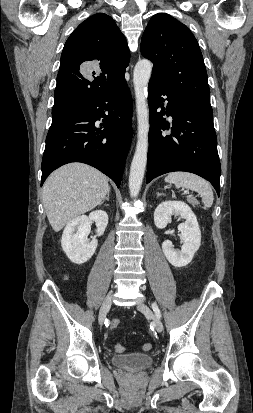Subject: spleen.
Segmentation results:
<instances>
[{
	"label": "spleen",
	"mask_w": 253,
	"mask_h": 413,
	"mask_svg": "<svg viewBox=\"0 0 253 413\" xmlns=\"http://www.w3.org/2000/svg\"><path fill=\"white\" fill-rule=\"evenodd\" d=\"M165 182L174 184L176 188H187L200 194L204 208H210L213 204V191L210 184L195 174L189 172H171Z\"/></svg>",
	"instance_id": "1"
}]
</instances>
